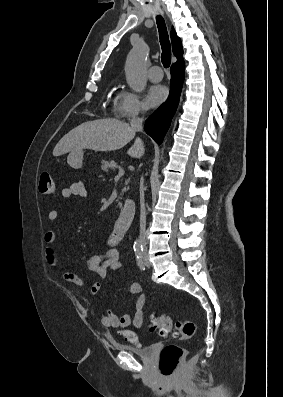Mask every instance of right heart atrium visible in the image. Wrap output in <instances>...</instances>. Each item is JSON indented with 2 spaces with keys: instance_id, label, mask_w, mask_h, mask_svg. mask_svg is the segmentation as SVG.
I'll return each mask as SVG.
<instances>
[{
  "instance_id": "d8ad5b80",
  "label": "right heart atrium",
  "mask_w": 283,
  "mask_h": 397,
  "mask_svg": "<svg viewBox=\"0 0 283 397\" xmlns=\"http://www.w3.org/2000/svg\"><path fill=\"white\" fill-rule=\"evenodd\" d=\"M146 108L140 97L129 90H122L114 101L113 112L122 119L131 120L143 113Z\"/></svg>"
}]
</instances>
